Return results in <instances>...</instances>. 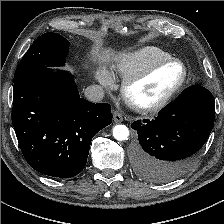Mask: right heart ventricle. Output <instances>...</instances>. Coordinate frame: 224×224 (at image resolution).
Segmentation results:
<instances>
[{
    "instance_id": "obj_1",
    "label": "right heart ventricle",
    "mask_w": 224,
    "mask_h": 224,
    "mask_svg": "<svg viewBox=\"0 0 224 224\" xmlns=\"http://www.w3.org/2000/svg\"><path fill=\"white\" fill-rule=\"evenodd\" d=\"M171 58L170 53L156 46H145L119 56L115 70L123 78L141 72L159 60Z\"/></svg>"
}]
</instances>
